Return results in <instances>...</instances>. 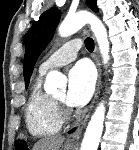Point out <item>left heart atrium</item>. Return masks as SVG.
Masks as SVG:
<instances>
[{
    "mask_svg": "<svg viewBox=\"0 0 139 150\" xmlns=\"http://www.w3.org/2000/svg\"><path fill=\"white\" fill-rule=\"evenodd\" d=\"M95 88V72L92 66L79 62L68 74V92L66 101L71 106L85 105L93 95Z\"/></svg>",
    "mask_w": 139,
    "mask_h": 150,
    "instance_id": "obj_1",
    "label": "left heart atrium"
}]
</instances>
